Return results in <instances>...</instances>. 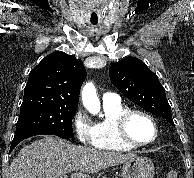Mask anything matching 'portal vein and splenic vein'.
<instances>
[{"mask_svg": "<svg viewBox=\"0 0 194 178\" xmlns=\"http://www.w3.org/2000/svg\"><path fill=\"white\" fill-rule=\"evenodd\" d=\"M60 178H67V176L66 175H62V176H60Z\"/></svg>", "mask_w": 194, "mask_h": 178, "instance_id": "obj_1", "label": "portal vein and splenic vein"}]
</instances>
